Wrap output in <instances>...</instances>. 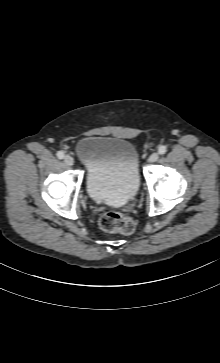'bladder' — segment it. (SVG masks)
Here are the masks:
<instances>
[{"instance_id": "31cf9c89", "label": "bladder", "mask_w": 220, "mask_h": 363, "mask_svg": "<svg viewBox=\"0 0 220 363\" xmlns=\"http://www.w3.org/2000/svg\"><path fill=\"white\" fill-rule=\"evenodd\" d=\"M75 155L86 172V190L91 199L122 205L140 188V160L135 145L112 136L79 140Z\"/></svg>"}]
</instances>
